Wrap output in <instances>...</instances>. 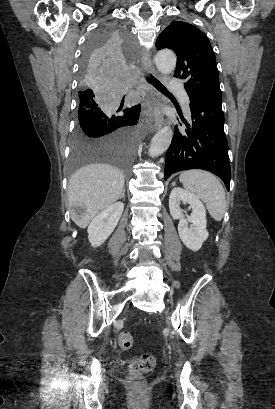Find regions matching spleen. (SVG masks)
I'll return each instance as SVG.
<instances>
[{
	"instance_id": "obj_1",
	"label": "spleen",
	"mask_w": 275,
	"mask_h": 409,
	"mask_svg": "<svg viewBox=\"0 0 275 409\" xmlns=\"http://www.w3.org/2000/svg\"><path fill=\"white\" fill-rule=\"evenodd\" d=\"M179 180L185 188L200 196L215 221H221L226 211V196L220 180L214 174L207 170H185L181 172Z\"/></svg>"
}]
</instances>
